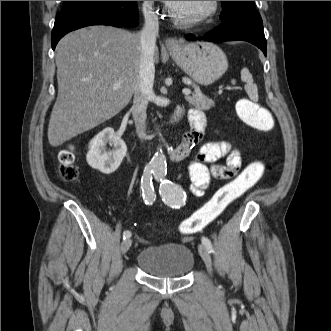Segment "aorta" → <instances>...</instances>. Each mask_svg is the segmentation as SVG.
<instances>
[{"label":"aorta","instance_id":"1","mask_svg":"<svg viewBox=\"0 0 331 331\" xmlns=\"http://www.w3.org/2000/svg\"><path fill=\"white\" fill-rule=\"evenodd\" d=\"M159 135L161 136L160 133ZM150 168L153 171L155 177L157 178L164 177L167 171V163H166V157L163 154L161 147L157 149L156 153L151 159Z\"/></svg>","mask_w":331,"mask_h":331}]
</instances>
